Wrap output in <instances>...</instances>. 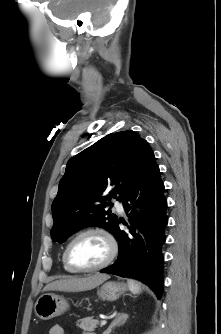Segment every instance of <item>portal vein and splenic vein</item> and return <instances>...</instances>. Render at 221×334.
Here are the masks:
<instances>
[{
  "mask_svg": "<svg viewBox=\"0 0 221 334\" xmlns=\"http://www.w3.org/2000/svg\"><path fill=\"white\" fill-rule=\"evenodd\" d=\"M107 321L106 320H102L100 325L103 326V325H106Z\"/></svg>",
  "mask_w": 221,
  "mask_h": 334,
  "instance_id": "18ae733b",
  "label": "portal vein and splenic vein"
}]
</instances>
